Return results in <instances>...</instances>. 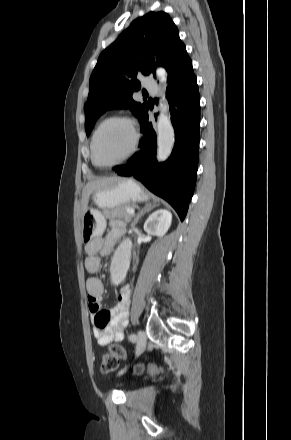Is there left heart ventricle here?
Masks as SVG:
<instances>
[{"label":"left heart ventricle","instance_id":"obj_1","mask_svg":"<svg viewBox=\"0 0 291 440\" xmlns=\"http://www.w3.org/2000/svg\"><path fill=\"white\" fill-rule=\"evenodd\" d=\"M131 144L132 134L125 123H108L96 138V160L101 164L119 161L128 153Z\"/></svg>","mask_w":291,"mask_h":440}]
</instances>
